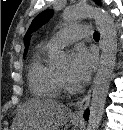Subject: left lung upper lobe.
<instances>
[{"label":"left lung upper lobe","instance_id":"5c2ea615","mask_svg":"<svg viewBox=\"0 0 123 130\" xmlns=\"http://www.w3.org/2000/svg\"><path fill=\"white\" fill-rule=\"evenodd\" d=\"M97 4L100 3L99 0H94ZM53 15V11L51 10H45L42 13H40L31 23L28 32L25 35V39H27L29 37V35L35 31L36 29H38L39 27H41L43 24H45Z\"/></svg>","mask_w":123,"mask_h":130}]
</instances>
